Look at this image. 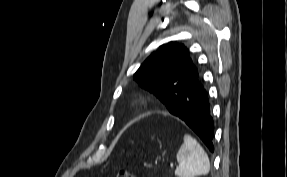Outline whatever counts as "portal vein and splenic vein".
Masks as SVG:
<instances>
[{"label":"portal vein and splenic vein","mask_w":287,"mask_h":177,"mask_svg":"<svg viewBox=\"0 0 287 177\" xmlns=\"http://www.w3.org/2000/svg\"><path fill=\"white\" fill-rule=\"evenodd\" d=\"M170 167H171V168H173V167H174V165H173V164H170Z\"/></svg>","instance_id":"obj_1"}]
</instances>
